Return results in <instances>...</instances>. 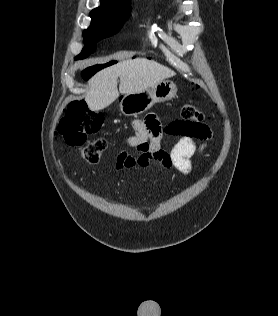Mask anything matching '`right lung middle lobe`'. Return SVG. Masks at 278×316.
Masks as SVG:
<instances>
[{"mask_svg":"<svg viewBox=\"0 0 278 316\" xmlns=\"http://www.w3.org/2000/svg\"><path fill=\"white\" fill-rule=\"evenodd\" d=\"M129 11L130 8L120 10L96 8L92 10L90 13L92 18L91 25L83 32L85 46L81 54H79L75 59L86 58L95 51V42L117 33L130 15ZM96 70V68L86 69L83 72V76L87 78Z\"/></svg>","mask_w":278,"mask_h":316,"instance_id":"right-lung-middle-lobe-1","label":"right lung middle lobe"}]
</instances>
